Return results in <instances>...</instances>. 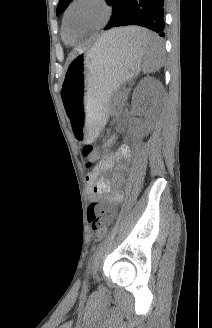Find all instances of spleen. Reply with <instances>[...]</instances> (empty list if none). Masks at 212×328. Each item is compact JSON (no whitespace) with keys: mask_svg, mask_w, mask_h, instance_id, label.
Instances as JSON below:
<instances>
[{"mask_svg":"<svg viewBox=\"0 0 212 328\" xmlns=\"http://www.w3.org/2000/svg\"><path fill=\"white\" fill-rule=\"evenodd\" d=\"M130 43L135 47L145 51L143 62L144 73L158 71L163 65L164 51L160 38L147 29L132 27ZM148 43L152 45L149 46Z\"/></svg>","mask_w":212,"mask_h":328,"instance_id":"1","label":"spleen"}]
</instances>
